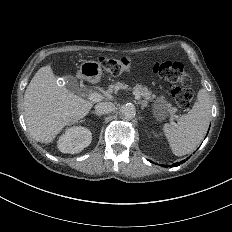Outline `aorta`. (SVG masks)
Wrapping results in <instances>:
<instances>
[{
  "instance_id": "1",
  "label": "aorta",
  "mask_w": 232,
  "mask_h": 232,
  "mask_svg": "<svg viewBox=\"0 0 232 232\" xmlns=\"http://www.w3.org/2000/svg\"><path fill=\"white\" fill-rule=\"evenodd\" d=\"M120 112L126 119H132L135 117L136 109L135 106L131 103H127L125 105H122L120 108Z\"/></svg>"
}]
</instances>
